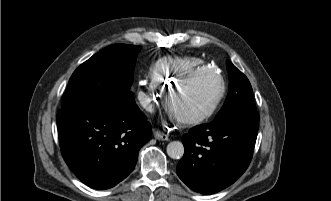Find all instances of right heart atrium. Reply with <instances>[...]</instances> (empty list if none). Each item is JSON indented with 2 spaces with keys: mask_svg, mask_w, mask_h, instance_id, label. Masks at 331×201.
<instances>
[{
  "mask_svg": "<svg viewBox=\"0 0 331 201\" xmlns=\"http://www.w3.org/2000/svg\"><path fill=\"white\" fill-rule=\"evenodd\" d=\"M142 85L143 88L137 93L138 101L144 109L151 111L160 97V91L153 80H145Z\"/></svg>",
  "mask_w": 331,
  "mask_h": 201,
  "instance_id": "obj_1",
  "label": "right heart atrium"
}]
</instances>
